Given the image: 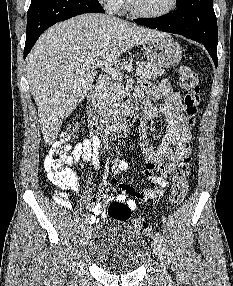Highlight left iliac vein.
Instances as JSON below:
<instances>
[{"label": "left iliac vein", "instance_id": "1", "mask_svg": "<svg viewBox=\"0 0 233 286\" xmlns=\"http://www.w3.org/2000/svg\"><path fill=\"white\" fill-rule=\"evenodd\" d=\"M151 246H152L154 254L162 262L163 254H162L161 242L155 237L153 238ZM163 271H164V274L166 275V270L164 269Z\"/></svg>", "mask_w": 233, "mask_h": 286}]
</instances>
